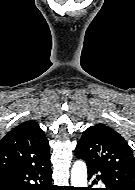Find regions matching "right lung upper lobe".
<instances>
[{"label":"right lung upper lobe","mask_w":135,"mask_h":190,"mask_svg":"<svg viewBox=\"0 0 135 190\" xmlns=\"http://www.w3.org/2000/svg\"><path fill=\"white\" fill-rule=\"evenodd\" d=\"M50 147L44 131L35 121H26L0 141V169L16 166H45Z\"/></svg>","instance_id":"right-lung-upper-lobe-1"}]
</instances>
